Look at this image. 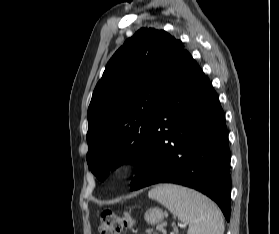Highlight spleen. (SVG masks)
Wrapping results in <instances>:
<instances>
[{
  "mask_svg": "<svg viewBox=\"0 0 279 234\" xmlns=\"http://www.w3.org/2000/svg\"><path fill=\"white\" fill-rule=\"evenodd\" d=\"M148 195L167 207L182 222L188 223V234L224 233L221 211L201 193L179 185L161 184Z\"/></svg>",
  "mask_w": 279,
  "mask_h": 234,
  "instance_id": "obj_1",
  "label": "spleen"
}]
</instances>
